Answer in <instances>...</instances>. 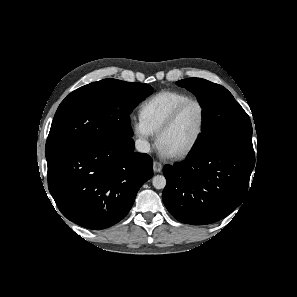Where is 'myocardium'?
I'll return each instance as SVG.
<instances>
[{"label": "myocardium", "instance_id": "myocardium-1", "mask_svg": "<svg viewBox=\"0 0 297 297\" xmlns=\"http://www.w3.org/2000/svg\"><path fill=\"white\" fill-rule=\"evenodd\" d=\"M196 104L199 109H200V113H201V120H200V125H199V129L197 131V134L195 136V138L193 139V141L182 151L174 153V154H169V156L173 159H182L186 156H188L199 144L203 133L205 131L206 128V123H207V114H206V109L204 107V105L201 103L200 100L196 99V98H189L185 101H183L182 103H180L172 112L171 114L168 116V118L164 121V123L160 126V128L158 129L157 133H156V142L157 145L160 146V140L162 138V136L173 127V125L176 123L178 117L180 116L181 112L183 111V109L189 105V104Z\"/></svg>", "mask_w": 297, "mask_h": 297}]
</instances>
